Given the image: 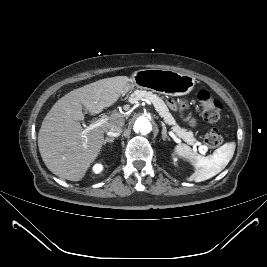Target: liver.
Segmentation results:
<instances>
[{"label": "liver", "mask_w": 267, "mask_h": 267, "mask_svg": "<svg viewBox=\"0 0 267 267\" xmlns=\"http://www.w3.org/2000/svg\"><path fill=\"white\" fill-rule=\"evenodd\" d=\"M129 82L127 76L101 79L72 90L53 105L38 133L41 157L53 174L70 181L85 176L100 153L104 133L113 125L123 126L125 119L121 113H114L84 138L80 124L83 106L89 113L99 114L118 101Z\"/></svg>", "instance_id": "liver-1"}]
</instances>
